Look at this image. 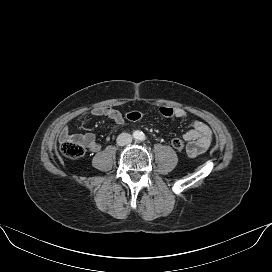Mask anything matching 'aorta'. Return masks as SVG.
<instances>
[{"label": "aorta", "instance_id": "obj_1", "mask_svg": "<svg viewBox=\"0 0 272 272\" xmlns=\"http://www.w3.org/2000/svg\"><path fill=\"white\" fill-rule=\"evenodd\" d=\"M133 136H134L135 139H139V138H141L142 133H141L140 131H135V132L133 133Z\"/></svg>", "mask_w": 272, "mask_h": 272}]
</instances>
